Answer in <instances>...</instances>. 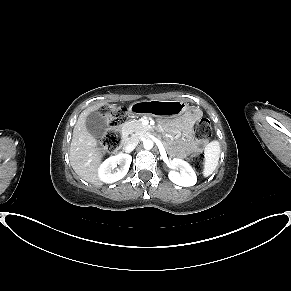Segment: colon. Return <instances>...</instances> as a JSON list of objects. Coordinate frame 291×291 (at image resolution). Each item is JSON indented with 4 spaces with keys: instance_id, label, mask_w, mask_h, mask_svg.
<instances>
[{
    "instance_id": "obj_1",
    "label": "colon",
    "mask_w": 291,
    "mask_h": 291,
    "mask_svg": "<svg viewBox=\"0 0 291 291\" xmlns=\"http://www.w3.org/2000/svg\"><path fill=\"white\" fill-rule=\"evenodd\" d=\"M100 112L109 125L100 141V148L103 152H114V149H117L121 143L119 128L127 120L128 111L121 106H105ZM193 135L197 142H205L211 136L210 121L205 118L200 119L194 126ZM190 159L195 168L200 169L202 167L204 160L202 153H193Z\"/></svg>"
}]
</instances>
